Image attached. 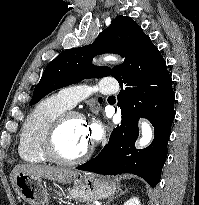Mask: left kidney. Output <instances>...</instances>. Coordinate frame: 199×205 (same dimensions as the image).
Wrapping results in <instances>:
<instances>
[{
    "mask_svg": "<svg viewBox=\"0 0 199 205\" xmlns=\"http://www.w3.org/2000/svg\"><path fill=\"white\" fill-rule=\"evenodd\" d=\"M124 205H141L137 197L130 198Z\"/></svg>",
    "mask_w": 199,
    "mask_h": 205,
    "instance_id": "left-kidney-1",
    "label": "left kidney"
}]
</instances>
